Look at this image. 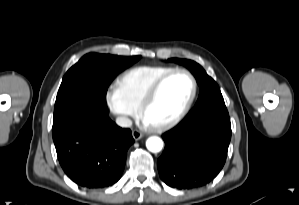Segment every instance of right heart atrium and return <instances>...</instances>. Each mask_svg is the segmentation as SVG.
Listing matches in <instances>:
<instances>
[{"label": "right heart atrium", "instance_id": "d8ad5b80", "mask_svg": "<svg viewBox=\"0 0 299 205\" xmlns=\"http://www.w3.org/2000/svg\"><path fill=\"white\" fill-rule=\"evenodd\" d=\"M105 103L109 111L116 115L123 123L136 115V110L125 102L116 86L111 87L106 92Z\"/></svg>", "mask_w": 299, "mask_h": 205}]
</instances>
